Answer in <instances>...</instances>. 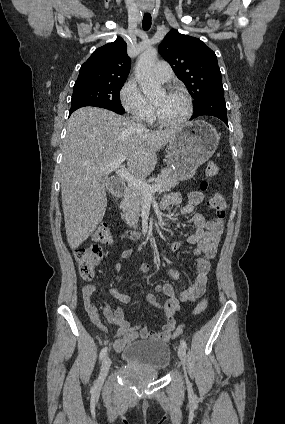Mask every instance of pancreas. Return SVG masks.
Masks as SVG:
<instances>
[{
	"instance_id": "obj_1",
	"label": "pancreas",
	"mask_w": 285,
	"mask_h": 424,
	"mask_svg": "<svg viewBox=\"0 0 285 424\" xmlns=\"http://www.w3.org/2000/svg\"><path fill=\"white\" fill-rule=\"evenodd\" d=\"M179 180L172 174L170 169H165L156 178L155 183L147 182L149 185H160L161 188L158 190L159 193L167 192L171 188H174L178 184ZM145 195L139 190L132 186H129L126 190L123 201L121 202V209L123 213L121 218L126 221L130 227H137L140 211L144 205Z\"/></svg>"
}]
</instances>
